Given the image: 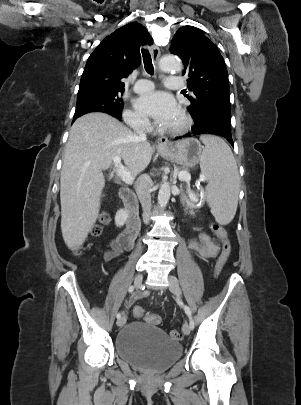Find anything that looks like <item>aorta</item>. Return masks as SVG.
Here are the masks:
<instances>
[{"label": "aorta", "mask_w": 301, "mask_h": 405, "mask_svg": "<svg viewBox=\"0 0 301 405\" xmlns=\"http://www.w3.org/2000/svg\"><path fill=\"white\" fill-rule=\"evenodd\" d=\"M160 69L164 72H180L182 64L178 57L174 55L165 56L160 60ZM171 196L170 184L167 181L161 183L158 192V204L160 207H165Z\"/></svg>", "instance_id": "762f6f07"}]
</instances>
